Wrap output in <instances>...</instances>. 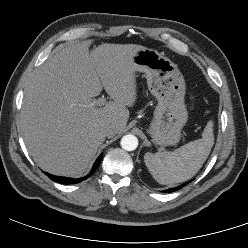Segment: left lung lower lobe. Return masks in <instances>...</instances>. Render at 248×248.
<instances>
[{
    "instance_id": "0a47b994",
    "label": "left lung lower lobe",
    "mask_w": 248,
    "mask_h": 248,
    "mask_svg": "<svg viewBox=\"0 0 248 248\" xmlns=\"http://www.w3.org/2000/svg\"><path fill=\"white\" fill-rule=\"evenodd\" d=\"M187 183H189V182H187ZM187 183L182 184V185H180V186H178V187H175V188H170V189L167 190V192H174V191H176V190H178V189H181V188L184 187Z\"/></svg>"
}]
</instances>
